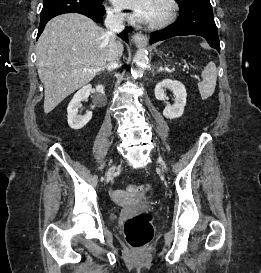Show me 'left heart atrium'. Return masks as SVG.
Masks as SVG:
<instances>
[{
  "label": "left heart atrium",
  "mask_w": 261,
  "mask_h": 273,
  "mask_svg": "<svg viewBox=\"0 0 261 273\" xmlns=\"http://www.w3.org/2000/svg\"><path fill=\"white\" fill-rule=\"evenodd\" d=\"M120 9L129 10L128 15L140 22H149L155 0H112Z\"/></svg>",
  "instance_id": "obj_1"
}]
</instances>
